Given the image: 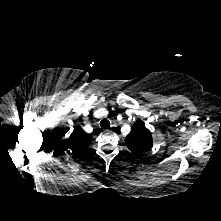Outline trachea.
<instances>
[{"instance_id":"trachea-1","label":"trachea","mask_w":221,"mask_h":221,"mask_svg":"<svg viewBox=\"0 0 221 221\" xmlns=\"http://www.w3.org/2000/svg\"><path fill=\"white\" fill-rule=\"evenodd\" d=\"M100 126L103 128V129H108L110 127V122L109 120H107L106 118L102 119L101 122H100Z\"/></svg>"}]
</instances>
